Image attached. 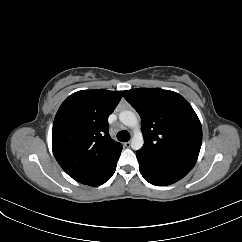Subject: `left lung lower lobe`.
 Returning <instances> with one entry per match:
<instances>
[{
	"mask_svg": "<svg viewBox=\"0 0 242 242\" xmlns=\"http://www.w3.org/2000/svg\"><path fill=\"white\" fill-rule=\"evenodd\" d=\"M139 169L142 176L156 186L170 185L182 179L189 169L158 161L145 153L137 151Z\"/></svg>",
	"mask_w": 242,
	"mask_h": 242,
	"instance_id": "0a47b994",
	"label": "left lung lower lobe"
}]
</instances>
